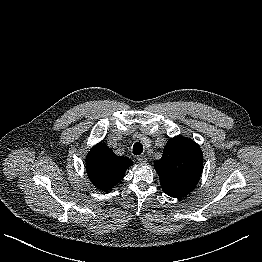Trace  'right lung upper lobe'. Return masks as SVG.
<instances>
[{
	"instance_id": "right-lung-upper-lobe-1",
	"label": "right lung upper lobe",
	"mask_w": 262,
	"mask_h": 262,
	"mask_svg": "<svg viewBox=\"0 0 262 262\" xmlns=\"http://www.w3.org/2000/svg\"><path fill=\"white\" fill-rule=\"evenodd\" d=\"M133 162L117 156L107 145L98 143L86 157V171L94 186L102 191L112 188L124 177Z\"/></svg>"
}]
</instances>
